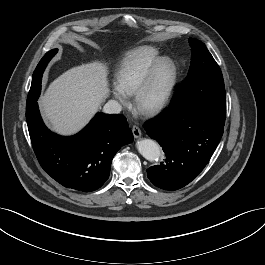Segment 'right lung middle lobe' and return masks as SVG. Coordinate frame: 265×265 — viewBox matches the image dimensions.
Wrapping results in <instances>:
<instances>
[{
	"label": "right lung middle lobe",
	"mask_w": 265,
	"mask_h": 265,
	"mask_svg": "<svg viewBox=\"0 0 265 265\" xmlns=\"http://www.w3.org/2000/svg\"><path fill=\"white\" fill-rule=\"evenodd\" d=\"M57 53V49H53L45 54V56L41 59L39 64L37 65L33 77H32V84L31 88L27 97V105H32L35 101H37L40 91H41V80L42 74L47 63L51 60V58Z\"/></svg>",
	"instance_id": "dd1d6c3e"
}]
</instances>
